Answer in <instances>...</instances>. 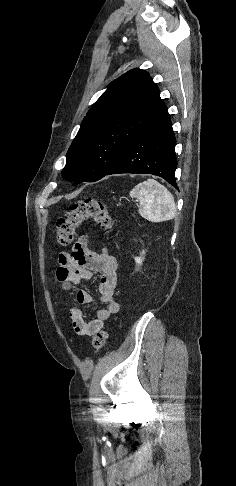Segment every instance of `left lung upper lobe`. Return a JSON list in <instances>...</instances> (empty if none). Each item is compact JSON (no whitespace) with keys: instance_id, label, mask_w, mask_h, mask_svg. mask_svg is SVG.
Returning a JSON list of instances; mask_svg holds the SVG:
<instances>
[{"instance_id":"5c2ea615","label":"left lung upper lobe","mask_w":236,"mask_h":486,"mask_svg":"<svg viewBox=\"0 0 236 486\" xmlns=\"http://www.w3.org/2000/svg\"><path fill=\"white\" fill-rule=\"evenodd\" d=\"M167 107L149 74L133 69L112 81L84 117L67 155L63 175L95 182Z\"/></svg>"}]
</instances>
